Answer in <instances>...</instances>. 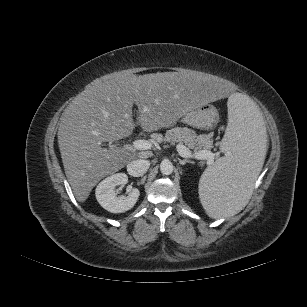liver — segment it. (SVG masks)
<instances>
[{"instance_id":"obj_1","label":"liver","mask_w":307,"mask_h":307,"mask_svg":"<svg viewBox=\"0 0 307 307\" xmlns=\"http://www.w3.org/2000/svg\"><path fill=\"white\" fill-rule=\"evenodd\" d=\"M230 93L224 84L192 71L117 74L88 84L64 110L57 134L76 199L86 201L103 177L136 159L137 153L126 147L102 148L103 142L132 134L133 104L142 129L153 132L171 126L198 105L227 99Z\"/></svg>"}]
</instances>
